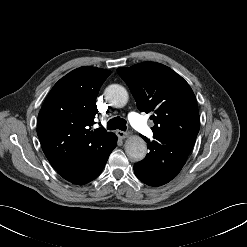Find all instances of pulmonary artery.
Listing matches in <instances>:
<instances>
[{
	"label": "pulmonary artery",
	"mask_w": 247,
	"mask_h": 247,
	"mask_svg": "<svg viewBox=\"0 0 247 247\" xmlns=\"http://www.w3.org/2000/svg\"><path fill=\"white\" fill-rule=\"evenodd\" d=\"M129 121L137 130H139L143 134L150 135L152 133V130L149 127V125L143 120V118L139 114L130 113Z\"/></svg>",
	"instance_id": "pulmonary-artery-1"
}]
</instances>
